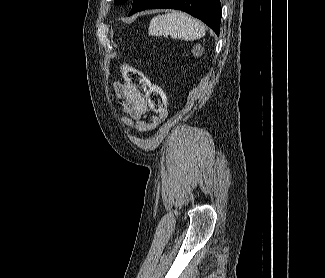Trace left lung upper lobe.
Wrapping results in <instances>:
<instances>
[{
    "instance_id": "5c2ea615",
    "label": "left lung upper lobe",
    "mask_w": 325,
    "mask_h": 278,
    "mask_svg": "<svg viewBox=\"0 0 325 278\" xmlns=\"http://www.w3.org/2000/svg\"><path fill=\"white\" fill-rule=\"evenodd\" d=\"M127 0H114V4L115 5H120V4H123L125 3Z\"/></svg>"
}]
</instances>
